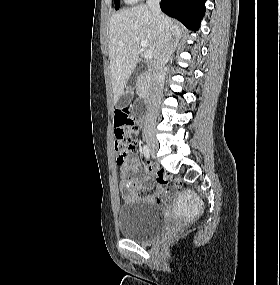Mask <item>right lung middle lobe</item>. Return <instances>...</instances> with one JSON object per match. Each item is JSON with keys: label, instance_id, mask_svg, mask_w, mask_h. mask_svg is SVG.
<instances>
[{"label": "right lung middle lobe", "instance_id": "obj_1", "mask_svg": "<svg viewBox=\"0 0 280 285\" xmlns=\"http://www.w3.org/2000/svg\"><path fill=\"white\" fill-rule=\"evenodd\" d=\"M119 7H120V2H119V0H115V8H116V10H118Z\"/></svg>", "mask_w": 280, "mask_h": 285}]
</instances>
